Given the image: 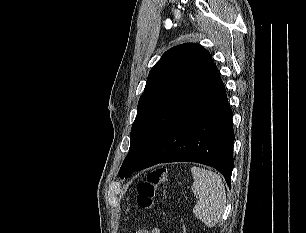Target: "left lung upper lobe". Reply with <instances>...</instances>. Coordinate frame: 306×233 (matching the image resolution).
I'll return each mask as SVG.
<instances>
[{"mask_svg": "<svg viewBox=\"0 0 306 233\" xmlns=\"http://www.w3.org/2000/svg\"><path fill=\"white\" fill-rule=\"evenodd\" d=\"M219 78L209 52L194 43L164 53L149 72L130 133L121 178L143 164L169 130Z\"/></svg>", "mask_w": 306, "mask_h": 233, "instance_id": "obj_1", "label": "left lung upper lobe"}]
</instances>
